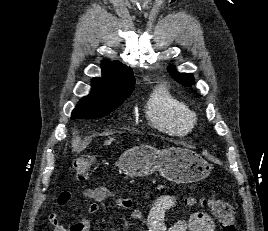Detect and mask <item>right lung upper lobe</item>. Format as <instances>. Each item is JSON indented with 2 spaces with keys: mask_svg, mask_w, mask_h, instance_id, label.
<instances>
[{
  "mask_svg": "<svg viewBox=\"0 0 268 231\" xmlns=\"http://www.w3.org/2000/svg\"><path fill=\"white\" fill-rule=\"evenodd\" d=\"M102 78H95L92 82L91 93L82 98L80 105L89 103L124 102L135 88V78L130 67L118 61L102 62Z\"/></svg>",
  "mask_w": 268,
  "mask_h": 231,
  "instance_id": "obj_1",
  "label": "right lung upper lobe"
}]
</instances>
